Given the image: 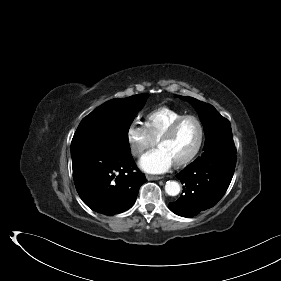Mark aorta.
I'll return each mask as SVG.
<instances>
[{"label":"aorta","mask_w":281,"mask_h":281,"mask_svg":"<svg viewBox=\"0 0 281 281\" xmlns=\"http://www.w3.org/2000/svg\"><path fill=\"white\" fill-rule=\"evenodd\" d=\"M165 192L170 196H176L180 192V185L176 181H167L165 185Z\"/></svg>","instance_id":"obj_1"}]
</instances>
